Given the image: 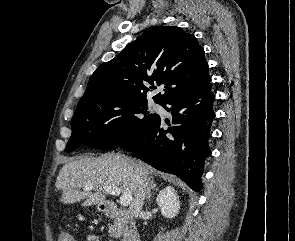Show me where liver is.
Returning <instances> with one entry per match:
<instances>
[{
	"label": "liver",
	"mask_w": 295,
	"mask_h": 241,
	"mask_svg": "<svg viewBox=\"0 0 295 241\" xmlns=\"http://www.w3.org/2000/svg\"><path fill=\"white\" fill-rule=\"evenodd\" d=\"M136 168L145 174L153 172L152 167L144 162L121 154L77 158L64 164L57 176L55 186L62 191L61 202L64 204L80 201H83V206L104 204L106 197L103 187L105 186H116L123 194H135ZM89 184L93 185V188L85 190V186ZM81 188L84 191H81Z\"/></svg>",
	"instance_id": "6515ba94"
}]
</instances>
